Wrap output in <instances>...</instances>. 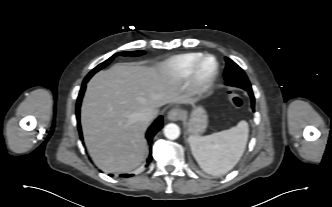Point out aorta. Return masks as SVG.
Listing matches in <instances>:
<instances>
[{
  "label": "aorta",
  "instance_id": "obj_1",
  "mask_svg": "<svg viewBox=\"0 0 332 207\" xmlns=\"http://www.w3.org/2000/svg\"><path fill=\"white\" fill-rule=\"evenodd\" d=\"M164 135L166 138L174 140L180 136V128L174 123L167 124L164 127Z\"/></svg>",
  "mask_w": 332,
  "mask_h": 207
}]
</instances>
